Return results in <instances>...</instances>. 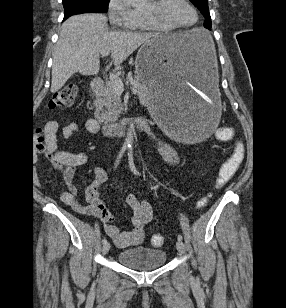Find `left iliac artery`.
Returning <instances> with one entry per match:
<instances>
[{
    "label": "left iliac artery",
    "mask_w": 286,
    "mask_h": 308,
    "mask_svg": "<svg viewBox=\"0 0 286 308\" xmlns=\"http://www.w3.org/2000/svg\"><path fill=\"white\" fill-rule=\"evenodd\" d=\"M128 159H129V166H130V169L131 171L135 174V175H141L139 173V171L136 169L135 165H134V162H133V152H132V148H130L129 150V153H128ZM178 240L182 241L183 240V237L182 235H178Z\"/></svg>",
    "instance_id": "1"
}]
</instances>
